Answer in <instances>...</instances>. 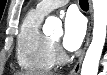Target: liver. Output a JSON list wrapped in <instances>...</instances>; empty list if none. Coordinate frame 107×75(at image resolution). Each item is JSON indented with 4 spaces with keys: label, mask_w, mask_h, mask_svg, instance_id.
Returning a JSON list of instances; mask_svg holds the SVG:
<instances>
[{
    "label": "liver",
    "mask_w": 107,
    "mask_h": 75,
    "mask_svg": "<svg viewBox=\"0 0 107 75\" xmlns=\"http://www.w3.org/2000/svg\"><path fill=\"white\" fill-rule=\"evenodd\" d=\"M15 75H25L23 72H18Z\"/></svg>",
    "instance_id": "1"
}]
</instances>
